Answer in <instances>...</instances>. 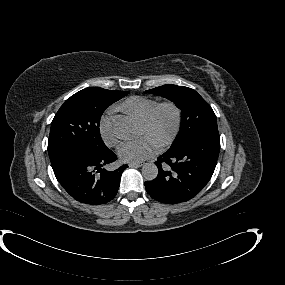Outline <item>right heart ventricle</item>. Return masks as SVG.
<instances>
[{"label":"right heart ventricle","mask_w":285,"mask_h":285,"mask_svg":"<svg viewBox=\"0 0 285 285\" xmlns=\"http://www.w3.org/2000/svg\"><path fill=\"white\" fill-rule=\"evenodd\" d=\"M158 104L154 100L133 99L129 104V117L138 123L146 124L155 113Z\"/></svg>","instance_id":"right-heart-ventricle-1"}]
</instances>
